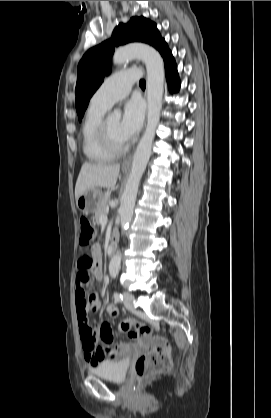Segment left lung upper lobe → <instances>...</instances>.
I'll return each mask as SVG.
<instances>
[{
    "instance_id": "obj_1",
    "label": "left lung upper lobe",
    "mask_w": 271,
    "mask_h": 418,
    "mask_svg": "<svg viewBox=\"0 0 271 418\" xmlns=\"http://www.w3.org/2000/svg\"><path fill=\"white\" fill-rule=\"evenodd\" d=\"M129 42L147 43L157 50L164 42L154 22L144 17H132L127 24H119L111 40L90 48L82 57L77 69L76 111L79 120L84 115L89 100L110 71L114 45Z\"/></svg>"
}]
</instances>
